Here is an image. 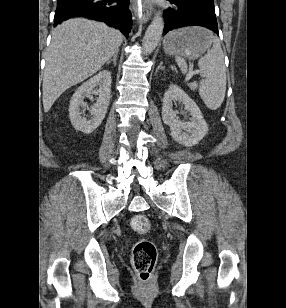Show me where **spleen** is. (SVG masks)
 Instances as JSON below:
<instances>
[{"label":"spleen","instance_id":"3e777b00","mask_svg":"<svg viewBox=\"0 0 286 308\" xmlns=\"http://www.w3.org/2000/svg\"><path fill=\"white\" fill-rule=\"evenodd\" d=\"M212 42V48L198 61L199 69L204 77L199 84V95L208 109L216 110L225 98L226 68L220 40L212 35ZM176 62L182 73H186L185 60L176 56Z\"/></svg>","mask_w":286,"mask_h":308}]
</instances>
